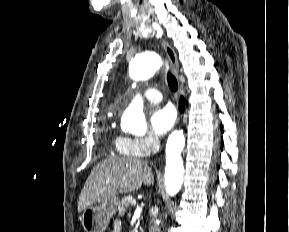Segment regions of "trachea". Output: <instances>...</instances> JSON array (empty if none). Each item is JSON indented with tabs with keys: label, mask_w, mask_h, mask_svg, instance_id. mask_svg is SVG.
<instances>
[{
	"label": "trachea",
	"mask_w": 289,
	"mask_h": 232,
	"mask_svg": "<svg viewBox=\"0 0 289 232\" xmlns=\"http://www.w3.org/2000/svg\"><path fill=\"white\" fill-rule=\"evenodd\" d=\"M167 82H168V86L172 92L177 91L178 83H177L176 78L171 73V71H168V73H167Z\"/></svg>",
	"instance_id": "3493384b"
}]
</instances>
